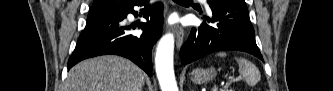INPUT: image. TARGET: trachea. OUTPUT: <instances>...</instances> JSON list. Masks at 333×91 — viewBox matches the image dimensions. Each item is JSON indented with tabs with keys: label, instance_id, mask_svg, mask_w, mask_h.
I'll return each instance as SVG.
<instances>
[{
	"label": "trachea",
	"instance_id": "1",
	"mask_svg": "<svg viewBox=\"0 0 333 91\" xmlns=\"http://www.w3.org/2000/svg\"><path fill=\"white\" fill-rule=\"evenodd\" d=\"M177 3H188V2H192L191 0H174Z\"/></svg>",
	"mask_w": 333,
	"mask_h": 91
}]
</instances>
